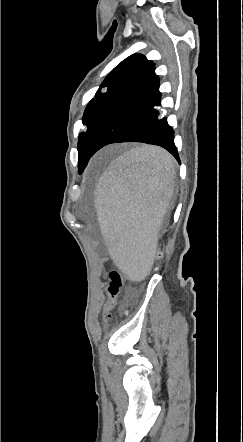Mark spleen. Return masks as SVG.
Masks as SVG:
<instances>
[{"label":"spleen","mask_w":243,"mask_h":442,"mask_svg":"<svg viewBox=\"0 0 243 442\" xmlns=\"http://www.w3.org/2000/svg\"><path fill=\"white\" fill-rule=\"evenodd\" d=\"M173 160L154 146L134 148L119 156L104 172L96 193L95 226L110 231L111 257L127 268L132 280H140L156 250L160 219L168 214Z\"/></svg>","instance_id":"obj_1"}]
</instances>
